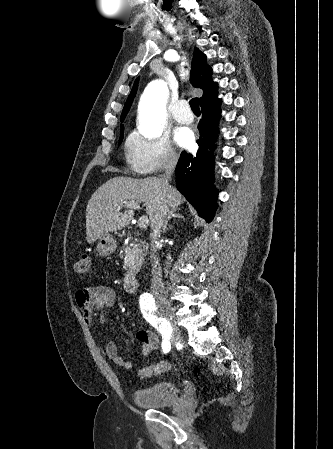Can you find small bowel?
Listing matches in <instances>:
<instances>
[{"mask_svg":"<svg viewBox=\"0 0 333 449\" xmlns=\"http://www.w3.org/2000/svg\"><path fill=\"white\" fill-rule=\"evenodd\" d=\"M75 299L85 323L93 326L97 318L101 322L104 321L106 312L115 305L116 293L108 286H94L78 290L75 294ZM136 339L141 343V355L143 357L149 355L160 343L155 333L145 329L137 332ZM104 351L117 367L123 369H131L133 367L134 362L121 356L114 342H106Z\"/></svg>","mask_w":333,"mask_h":449,"instance_id":"c3829d8e","label":"small bowel"}]
</instances>
